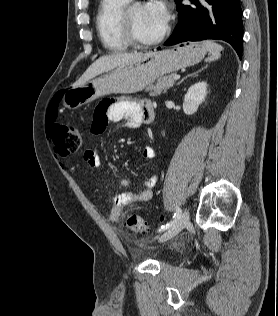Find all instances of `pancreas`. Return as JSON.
Returning <instances> with one entry per match:
<instances>
[{
	"instance_id": "cf45deb5",
	"label": "pancreas",
	"mask_w": 278,
	"mask_h": 316,
	"mask_svg": "<svg viewBox=\"0 0 278 316\" xmlns=\"http://www.w3.org/2000/svg\"><path fill=\"white\" fill-rule=\"evenodd\" d=\"M174 74L168 77H161L157 80V83L154 85H150L146 88V92H149L150 96H157L162 93H166L168 89H170L174 83Z\"/></svg>"
}]
</instances>
